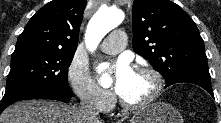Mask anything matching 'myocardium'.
Returning <instances> with one entry per match:
<instances>
[{
    "instance_id": "1",
    "label": "myocardium",
    "mask_w": 221,
    "mask_h": 123,
    "mask_svg": "<svg viewBox=\"0 0 221 123\" xmlns=\"http://www.w3.org/2000/svg\"><path fill=\"white\" fill-rule=\"evenodd\" d=\"M135 71L148 74L154 81V89L149 97L139 103H129L125 101L119 94H117V99L120 105L124 109L130 111L141 110L150 106L160 97L164 87V80L161 73L152 66L147 64L139 65L138 67H136Z\"/></svg>"
}]
</instances>
